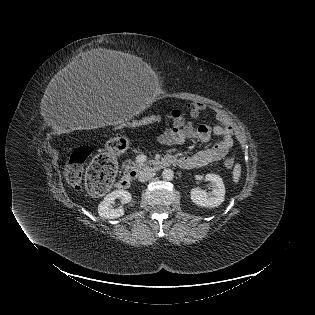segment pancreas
<instances>
[{"label": "pancreas", "mask_w": 315, "mask_h": 315, "mask_svg": "<svg viewBox=\"0 0 315 315\" xmlns=\"http://www.w3.org/2000/svg\"><path fill=\"white\" fill-rule=\"evenodd\" d=\"M147 163H139L138 161L130 162L128 165H124L125 171L128 172L130 170L139 171L142 167L146 166Z\"/></svg>", "instance_id": "1"}]
</instances>
